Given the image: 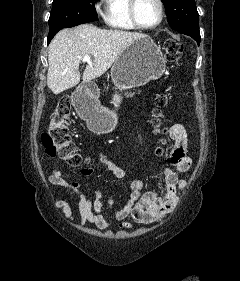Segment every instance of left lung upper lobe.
I'll use <instances>...</instances> for the list:
<instances>
[{
    "label": "left lung upper lobe",
    "instance_id": "5c2ea615",
    "mask_svg": "<svg viewBox=\"0 0 240 281\" xmlns=\"http://www.w3.org/2000/svg\"><path fill=\"white\" fill-rule=\"evenodd\" d=\"M170 27L176 31H199V14L194 0H162Z\"/></svg>",
    "mask_w": 240,
    "mask_h": 281
}]
</instances>
